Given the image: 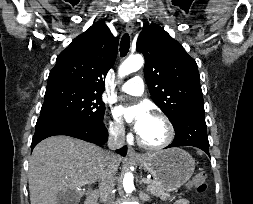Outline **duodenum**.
I'll return each mask as SVG.
<instances>
[{
    "label": "duodenum",
    "mask_w": 253,
    "mask_h": 204,
    "mask_svg": "<svg viewBox=\"0 0 253 204\" xmlns=\"http://www.w3.org/2000/svg\"><path fill=\"white\" fill-rule=\"evenodd\" d=\"M98 196L99 194L97 191L90 192L86 198L85 204H97Z\"/></svg>",
    "instance_id": "1"
}]
</instances>
